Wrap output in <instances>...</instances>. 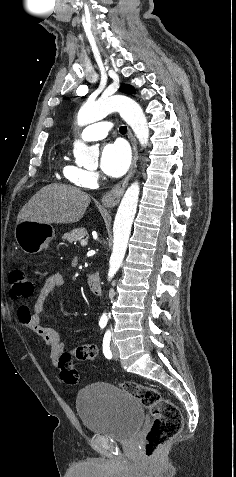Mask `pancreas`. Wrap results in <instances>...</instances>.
I'll return each mask as SVG.
<instances>
[{"label":"pancreas","mask_w":236,"mask_h":477,"mask_svg":"<svg viewBox=\"0 0 236 477\" xmlns=\"http://www.w3.org/2000/svg\"><path fill=\"white\" fill-rule=\"evenodd\" d=\"M86 236H88V233L85 228H77L64 234L62 239L64 241H68L69 243H76Z\"/></svg>","instance_id":"obj_1"}]
</instances>
